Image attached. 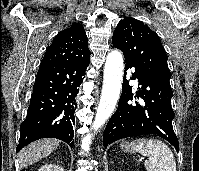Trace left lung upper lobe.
<instances>
[{"label":"left lung upper lobe","mask_w":199,"mask_h":171,"mask_svg":"<svg viewBox=\"0 0 199 171\" xmlns=\"http://www.w3.org/2000/svg\"><path fill=\"white\" fill-rule=\"evenodd\" d=\"M113 47L121 49L125 60L139 70L170 86L167 54L159 36L141 21L125 17L112 37Z\"/></svg>","instance_id":"5c2ea615"}]
</instances>
